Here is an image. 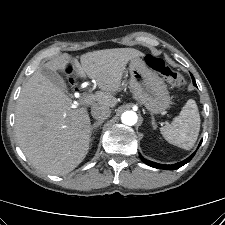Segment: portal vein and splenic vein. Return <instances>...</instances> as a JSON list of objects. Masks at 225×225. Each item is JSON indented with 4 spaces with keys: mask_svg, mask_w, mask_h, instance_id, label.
Segmentation results:
<instances>
[{
    "mask_svg": "<svg viewBox=\"0 0 225 225\" xmlns=\"http://www.w3.org/2000/svg\"><path fill=\"white\" fill-rule=\"evenodd\" d=\"M94 101V96L93 95H86L84 98H83V103H86V104H90ZM73 107H75V105H73Z\"/></svg>",
    "mask_w": 225,
    "mask_h": 225,
    "instance_id": "18ae733b",
    "label": "portal vein and splenic vein"
}]
</instances>
